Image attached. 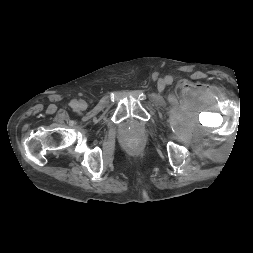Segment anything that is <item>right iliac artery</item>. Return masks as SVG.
<instances>
[{"label":"right iliac artery","mask_w":253,"mask_h":253,"mask_svg":"<svg viewBox=\"0 0 253 253\" xmlns=\"http://www.w3.org/2000/svg\"><path fill=\"white\" fill-rule=\"evenodd\" d=\"M77 105H78L77 100H75V99L71 100V102H70V106H71L72 108L77 107Z\"/></svg>","instance_id":"obj_1"}]
</instances>
